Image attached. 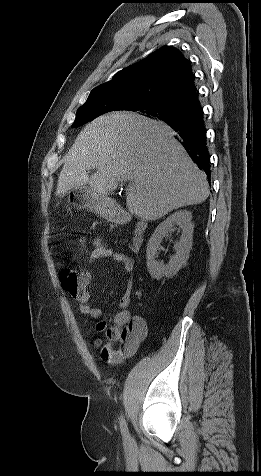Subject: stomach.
<instances>
[{"mask_svg": "<svg viewBox=\"0 0 261 476\" xmlns=\"http://www.w3.org/2000/svg\"><path fill=\"white\" fill-rule=\"evenodd\" d=\"M111 199L101 195L86 186L71 189L68 192V203L77 209H90L95 213L113 219L110 209Z\"/></svg>", "mask_w": 261, "mask_h": 476, "instance_id": "1", "label": "stomach"}]
</instances>
